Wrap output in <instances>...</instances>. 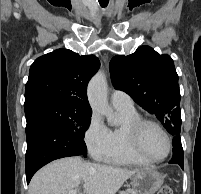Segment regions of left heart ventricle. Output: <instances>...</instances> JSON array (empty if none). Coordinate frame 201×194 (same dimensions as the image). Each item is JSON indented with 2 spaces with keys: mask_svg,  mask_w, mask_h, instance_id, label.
Masks as SVG:
<instances>
[{
  "mask_svg": "<svg viewBox=\"0 0 201 194\" xmlns=\"http://www.w3.org/2000/svg\"><path fill=\"white\" fill-rule=\"evenodd\" d=\"M141 146L143 151L152 158H161L168 150L165 136L152 125L144 127L141 135Z\"/></svg>",
  "mask_w": 201,
  "mask_h": 194,
  "instance_id": "b2bd125f",
  "label": "left heart ventricle"
}]
</instances>
